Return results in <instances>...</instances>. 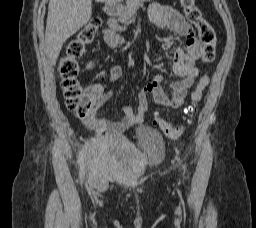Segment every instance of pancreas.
I'll list each match as a JSON object with an SVG mask.
<instances>
[{
  "label": "pancreas",
  "instance_id": "cf45deb5",
  "mask_svg": "<svg viewBox=\"0 0 256 228\" xmlns=\"http://www.w3.org/2000/svg\"><path fill=\"white\" fill-rule=\"evenodd\" d=\"M145 1H147V0H127L124 11L121 14H119L118 19L111 20L112 29L114 31L125 30V28H122L118 25V22H121V23L128 22L133 17L136 10L139 8L140 3L145 2ZM148 1H150V0H148Z\"/></svg>",
  "mask_w": 256,
  "mask_h": 228
}]
</instances>
